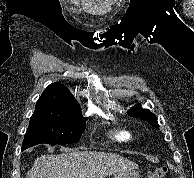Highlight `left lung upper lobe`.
Returning <instances> with one entry per match:
<instances>
[{"label":"left lung upper lobe","instance_id":"1","mask_svg":"<svg viewBox=\"0 0 194 178\" xmlns=\"http://www.w3.org/2000/svg\"><path fill=\"white\" fill-rule=\"evenodd\" d=\"M129 116L137 117L147 121L153 127H159L157 123V117L147 109H142L141 104H137L127 111Z\"/></svg>","mask_w":194,"mask_h":178}]
</instances>
